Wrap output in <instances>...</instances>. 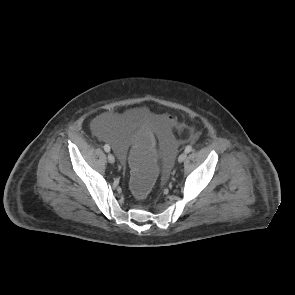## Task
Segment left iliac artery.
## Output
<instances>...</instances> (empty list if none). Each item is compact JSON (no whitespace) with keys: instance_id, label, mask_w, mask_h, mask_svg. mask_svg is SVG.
<instances>
[{"instance_id":"obj_1","label":"left iliac artery","mask_w":295,"mask_h":295,"mask_svg":"<svg viewBox=\"0 0 295 295\" xmlns=\"http://www.w3.org/2000/svg\"><path fill=\"white\" fill-rule=\"evenodd\" d=\"M191 151H192V146L191 145L186 146L185 153H189Z\"/></svg>"}]
</instances>
